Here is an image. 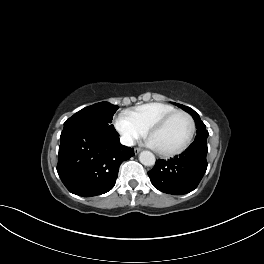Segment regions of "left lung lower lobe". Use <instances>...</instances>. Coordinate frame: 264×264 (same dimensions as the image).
Returning <instances> with one entry per match:
<instances>
[{
  "label": "left lung lower lobe",
  "mask_w": 264,
  "mask_h": 264,
  "mask_svg": "<svg viewBox=\"0 0 264 264\" xmlns=\"http://www.w3.org/2000/svg\"><path fill=\"white\" fill-rule=\"evenodd\" d=\"M206 142H193L181 155L157 160L148 172L153 186L161 192L182 195L193 191L207 169Z\"/></svg>",
  "instance_id": "0a47b994"
}]
</instances>
